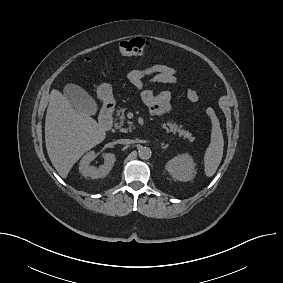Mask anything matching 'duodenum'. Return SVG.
<instances>
[{
    "instance_id": "obj_1",
    "label": "duodenum",
    "mask_w": 283,
    "mask_h": 283,
    "mask_svg": "<svg viewBox=\"0 0 283 283\" xmlns=\"http://www.w3.org/2000/svg\"><path fill=\"white\" fill-rule=\"evenodd\" d=\"M113 123V107L106 105L102 108L99 116L100 128L104 131H108L112 127Z\"/></svg>"
}]
</instances>
